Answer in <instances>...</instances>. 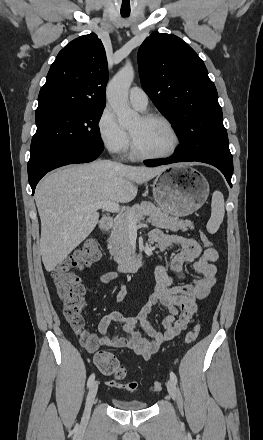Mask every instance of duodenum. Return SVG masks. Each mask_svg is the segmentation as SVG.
<instances>
[{
  "label": "duodenum",
  "mask_w": 263,
  "mask_h": 440,
  "mask_svg": "<svg viewBox=\"0 0 263 440\" xmlns=\"http://www.w3.org/2000/svg\"><path fill=\"white\" fill-rule=\"evenodd\" d=\"M112 225V220L110 218H102L99 222V229L102 232L109 231ZM144 265V257L142 255H137L131 260L123 263L121 265V271L125 273L136 272Z\"/></svg>",
  "instance_id": "410a0bca"
}]
</instances>
